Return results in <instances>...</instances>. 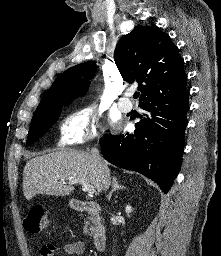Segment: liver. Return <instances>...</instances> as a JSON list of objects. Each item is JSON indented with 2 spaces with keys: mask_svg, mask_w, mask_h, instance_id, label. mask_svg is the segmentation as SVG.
<instances>
[{
  "mask_svg": "<svg viewBox=\"0 0 221 256\" xmlns=\"http://www.w3.org/2000/svg\"><path fill=\"white\" fill-rule=\"evenodd\" d=\"M100 163L91 153L64 150L37 156L29 160L23 171V193L27 200L37 194L65 196L74 191L67 185L72 179H83L102 192L103 171L110 174L107 162Z\"/></svg>",
  "mask_w": 221,
  "mask_h": 256,
  "instance_id": "6515ba94",
  "label": "liver"
}]
</instances>
